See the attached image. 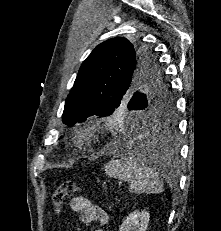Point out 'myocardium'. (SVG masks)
<instances>
[{
    "instance_id": "obj_1",
    "label": "myocardium",
    "mask_w": 221,
    "mask_h": 231,
    "mask_svg": "<svg viewBox=\"0 0 221 231\" xmlns=\"http://www.w3.org/2000/svg\"><path fill=\"white\" fill-rule=\"evenodd\" d=\"M82 140L83 141H88L89 140V132L87 130H85L83 133H82Z\"/></svg>"
}]
</instances>
